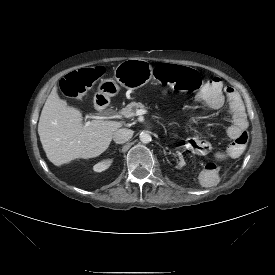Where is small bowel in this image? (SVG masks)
Segmentation results:
<instances>
[{"mask_svg":"<svg viewBox=\"0 0 275 275\" xmlns=\"http://www.w3.org/2000/svg\"><path fill=\"white\" fill-rule=\"evenodd\" d=\"M225 101L227 102L228 113L231 118V124L227 127L226 132L230 138L236 139L248 127L241 99L233 88L223 87L220 78H211L201 91V104L208 109L216 110L222 107ZM185 149L192 156H205L209 154L208 159L202 161L199 166L200 174L196 179V184L203 191L214 188L222 176L220 167L226 164L229 155L221 148L211 150L212 143L205 136L188 139Z\"/></svg>","mask_w":275,"mask_h":275,"instance_id":"obj_1","label":"small bowel"}]
</instances>
